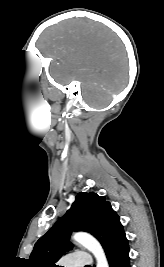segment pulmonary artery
Wrapping results in <instances>:
<instances>
[{
    "label": "pulmonary artery",
    "instance_id": "e3ab8cb5",
    "mask_svg": "<svg viewBox=\"0 0 164 267\" xmlns=\"http://www.w3.org/2000/svg\"><path fill=\"white\" fill-rule=\"evenodd\" d=\"M92 263V259L89 254H76L73 256H69L65 260L66 267H84L86 265H90Z\"/></svg>",
    "mask_w": 164,
    "mask_h": 267
}]
</instances>
